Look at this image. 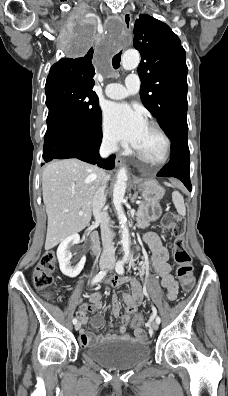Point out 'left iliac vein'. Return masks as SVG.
Here are the masks:
<instances>
[{"label":"left iliac vein","mask_w":228,"mask_h":396,"mask_svg":"<svg viewBox=\"0 0 228 396\" xmlns=\"http://www.w3.org/2000/svg\"><path fill=\"white\" fill-rule=\"evenodd\" d=\"M114 265H115V261L112 260V261L109 263V265H108L109 269L112 270L113 267H114ZM151 327H152L153 330H158L159 324H158L156 321H153Z\"/></svg>","instance_id":"obj_1"}]
</instances>
